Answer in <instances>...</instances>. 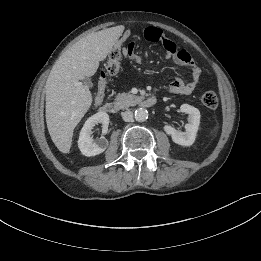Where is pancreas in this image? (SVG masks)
Returning <instances> with one entry per match:
<instances>
[{
	"instance_id": "obj_1",
	"label": "pancreas",
	"mask_w": 261,
	"mask_h": 261,
	"mask_svg": "<svg viewBox=\"0 0 261 261\" xmlns=\"http://www.w3.org/2000/svg\"><path fill=\"white\" fill-rule=\"evenodd\" d=\"M139 100L140 97L130 93H119L115 99L116 103L123 109L133 106Z\"/></svg>"
}]
</instances>
